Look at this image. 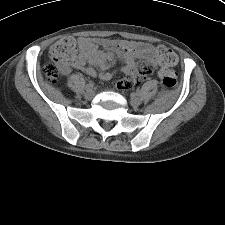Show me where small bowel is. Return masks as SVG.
<instances>
[{
  "instance_id": "obj_1",
  "label": "small bowel",
  "mask_w": 225,
  "mask_h": 225,
  "mask_svg": "<svg viewBox=\"0 0 225 225\" xmlns=\"http://www.w3.org/2000/svg\"><path fill=\"white\" fill-rule=\"evenodd\" d=\"M100 45L105 49H99ZM77 46L76 62L73 65H61V71L67 74L71 68H76L87 75L98 76L102 80H110L116 74V69L109 70L116 60L122 62L120 71L128 76L135 72L136 65L140 62L137 59L138 56L154 61L156 54L151 46L133 47L125 42L93 40L84 37L78 38Z\"/></svg>"
}]
</instances>
